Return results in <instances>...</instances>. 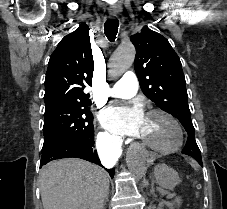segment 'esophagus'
Masks as SVG:
<instances>
[{"label":"esophagus","instance_id":"obj_1","mask_svg":"<svg viewBox=\"0 0 227 209\" xmlns=\"http://www.w3.org/2000/svg\"><path fill=\"white\" fill-rule=\"evenodd\" d=\"M110 18L116 19L117 15L111 14ZM143 155L144 156L142 157V164H151V161L155 158V153L153 151H144Z\"/></svg>","mask_w":227,"mask_h":209}]
</instances>
